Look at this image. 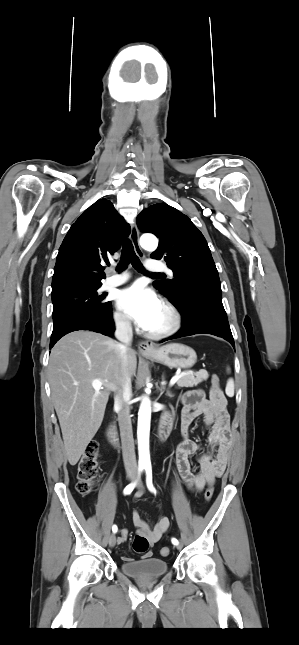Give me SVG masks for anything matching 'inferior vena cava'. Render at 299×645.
Listing matches in <instances>:
<instances>
[{
  "instance_id": "inferior-vena-cava-1",
  "label": "inferior vena cava",
  "mask_w": 299,
  "mask_h": 645,
  "mask_svg": "<svg viewBox=\"0 0 299 645\" xmlns=\"http://www.w3.org/2000/svg\"><path fill=\"white\" fill-rule=\"evenodd\" d=\"M115 336L120 341L116 350L121 360L123 371L122 392L115 396V406L118 408V422L122 443V455L126 471L137 472L135 446L132 432L130 407L128 401L131 395V379L127 371V352L133 338L131 322L127 317H118L115 320Z\"/></svg>"
}]
</instances>
